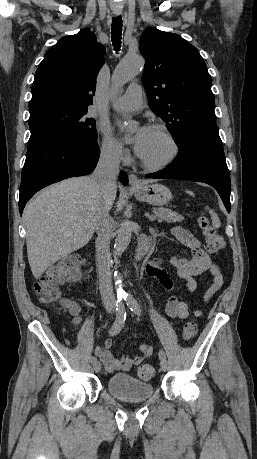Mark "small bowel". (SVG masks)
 I'll use <instances>...</instances> for the list:
<instances>
[{
    "label": "small bowel",
    "instance_id": "c3829d8e",
    "mask_svg": "<svg viewBox=\"0 0 257 459\" xmlns=\"http://www.w3.org/2000/svg\"><path fill=\"white\" fill-rule=\"evenodd\" d=\"M173 235L187 248L192 251L190 257L170 258L169 264L176 269L177 275L186 282V287L189 292L193 293L197 290L198 284L195 276L210 270L213 275V281L204 295V302H207L215 293H217L224 284L223 275L219 272L215 264L211 261L207 252L202 248L200 241L187 229L182 227H174ZM162 259H155L146 266V274L156 279L160 285L170 294L166 305V314L173 319L184 320L189 316V306L185 301L180 300L174 294V283L170 275L162 268ZM70 314L73 316V324L79 325L81 322L80 311L81 307L77 302H65ZM195 316H202L203 312L200 309L194 310ZM112 345L111 339H105L95 349V354L104 364L107 372L128 371L134 365L140 364L144 359L152 355L153 348L148 344L139 346L140 355L134 357H124L115 359L110 351Z\"/></svg>",
    "mask_w": 257,
    "mask_h": 459
}]
</instances>
